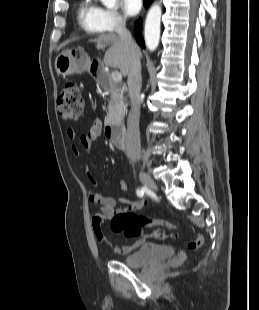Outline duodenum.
Masks as SVG:
<instances>
[{"mask_svg":"<svg viewBox=\"0 0 259 310\" xmlns=\"http://www.w3.org/2000/svg\"><path fill=\"white\" fill-rule=\"evenodd\" d=\"M89 70L90 73L98 79L103 88L111 89L114 87L113 82L110 80L109 76L103 71L102 66L98 61H93V64L90 65ZM105 135L116 146H124L121 124L108 121L105 125Z\"/></svg>","mask_w":259,"mask_h":310,"instance_id":"1","label":"duodenum"}]
</instances>
